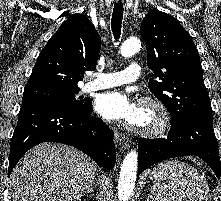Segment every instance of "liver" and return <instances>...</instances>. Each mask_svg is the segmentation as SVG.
I'll use <instances>...</instances> for the list:
<instances>
[{"mask_svg": "<svg viewBox=\"0 0 221 201\" xmlns=\"http://www.w3.org/2000/svg\"><path fill=\"white\" fill-rule=\"evenodd\" d=\"M95 171V162L75 148L39 144L11 173L13 201H77L94 183Z\"/></svg>", "mask_w": 221, "mask_h": 201, "instance_id": "liver-1", "label": "liver"}]
</instances>
